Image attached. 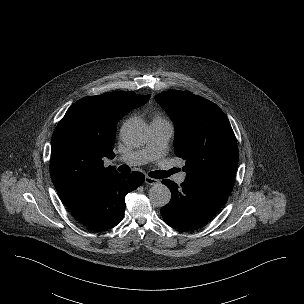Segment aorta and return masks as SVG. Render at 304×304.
Returning a JSON list of instances; mask_svg holds the SVG:
<instances>
[{"mask_svg": "<svg viewBox=\"0 0 304 304\" xmlns=\"http://www.w3.org/2000/svg\"><path fill=\"white\" fill-rule=\"evenodd\" d=\"M121 137L126 145L138 147L146 142L148 127L142 120L131 119L122 126ZM171 196L170 189L162 183L154 184L149 190L151 203L158 207L167 205L171 200Z\"/></svg>", "mask_w": 304, "mask_h": 304, "instance_id": "obj_1", "label": "aorta"}]
</instances>
